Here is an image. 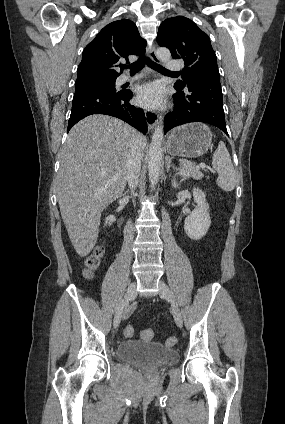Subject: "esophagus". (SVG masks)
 Instances as JSON below:
<instances>
[{
	"mask_svg": "<svg viewBox=\"0 0 285 424\" xmlns=\"http://www.w3.org/2000/svg\"><path fill=\"white\" fill-rule=\"evenodd\" d=\"M149 56L151 60L155 63H158V57L156 55L155 47L152 46L149 50ZM145 118L148 124L149 129L155 128L158 122V114L151 110H145Z\"/></svg>",
	"mask_w": 285,
	"mask_h": 424,
	"instance_id": "1",
	"label": "esophagus"
}]
</instances>
